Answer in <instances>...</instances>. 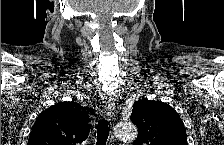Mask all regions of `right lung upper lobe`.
Segmentation results:
<instances>
[{
    "instance_id": "right-lung-upper-lobe-1",
    "label": "right lung upper lobe",
    "mask_w": 224,
    "mask_h": 145,
    "mask_svg": "<svg viewBox=\"0 0 224 145\" xmlns=\"http://www.w3.org/2000/svg\"><path fill=\"white\" fill-rule=\"evenodd\" d=\"M90 108L75 102H59L37 118L32 127L28 145H76L84 141L89 132Z\"/></svg>"
}]
</instances>
